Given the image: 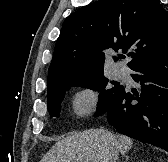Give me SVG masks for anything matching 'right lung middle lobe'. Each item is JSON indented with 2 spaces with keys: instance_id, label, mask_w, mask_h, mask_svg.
Listing matches in <instances>:
<instances>
[{
  "instance_id": "obj_1",
  "label": "right lung middle lobe",
  "mask_w": 168,
  "mask_h": 162,
  "mask_svg": "<svg viewBox=\"0 0 168 162\" xmlns=\"http://www.w3.org/2000/svg\"><path fill=\"white\" fill-rule=\"evenodd\" d=\"M108 79L103 75V71L92 72L81 77L54 82L48 86V111L51 117L60 116L61 102L64 99L65 91L69 86H82L96 91H101L97 107V115L105 113L114 102L123 86L114 84V87H108Z\"/></svg>"
}]
</instances>
